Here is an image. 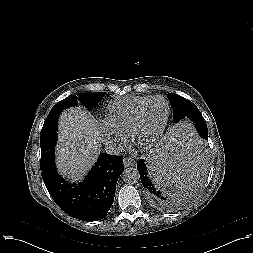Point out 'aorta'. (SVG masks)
Listing matches in <instances>:
<instances>
[{
    "label": "aorta",
    "instance_id": "1",
    "mask_svg": "<svg viewBox=\"0 0 253 253\" xmlns=\"http://www.w3.org/2000/svg\"><path fill=\"white\" fill-rule=\"evenodd\" d=\"M122 176H123L124 182L129 183V184L137 183L140 179L139 172L134 167L126 168Z\"/></svg>",
    "mask_w": 253,
    "mask_h": 253
}]
</instances>
